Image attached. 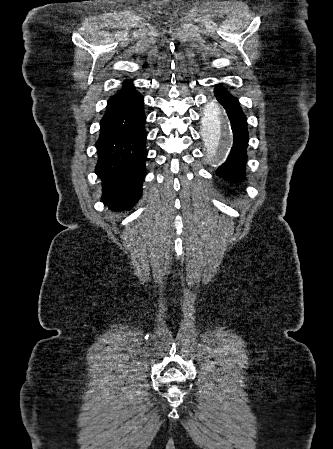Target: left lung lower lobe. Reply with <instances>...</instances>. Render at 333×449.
Returning <instances> with one entry per match:
<instances>
[{
  "mask_svg": "<svg viewBox=\"0 0 333 449\" xmlns=\"http://www.w3.org/2000/svg\"><path fill=\"white\" fill-rule=\"evenodd\" d=\"M215 96L225 108L233 132V146L225 161L217 170V174L228 181H240L244 177L247 160L248 131L246 116L240 108L238 100L226 89L216 88Z\"/></svg>",
  "mask_w": 333,
  "mask_h": 449,
  "instance_id": "obj_1",
  "label": "left lung lower lobe"
}]
</instances>
